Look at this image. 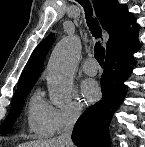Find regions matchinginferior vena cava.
Returning <instances> with one entry per match:
<instances>
[{
  "label": "inferior vena cava",
  "mask_w": 145,
  "mask_h": 147,
  "mask_svg": "<svg viewBox=\"0 0 145 147\" xmlns=\"http://www.w3.org/2000/svg\"><path fill=\"white\" fill-rule=\"evenodd\" d=\"M79 117V111L76 110L67 119L66 125L58 137L57 142L60 144L61 147H73V142L71 139V134L73 127Z\"/></svg>",
  "instance_id": "obj_1"
}]
</instances>
